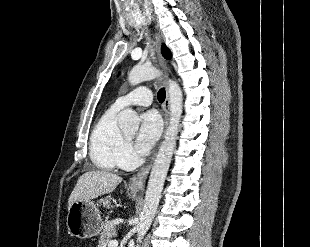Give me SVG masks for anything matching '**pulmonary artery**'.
Returning <instances> with one entry per match:
<instances>
[{
  "label": "pulmonary artery",
  "instance_id": "e3ab8cb5",
  "mask_svg": "<svg viewBox=\"0 0 310 247\" xmlns=\"http://www.w3.org/2000/svg\"><path fill=\"white\" fill-rule=\"evenodd\" d=\"M153 94L145 86L138 87L128 94L119 97L112 105L118 110L132 105L148 106L152 103Z\"/></svg>",
  "mask_w": 310,
  "mask_h": 247
}]
</instances>
